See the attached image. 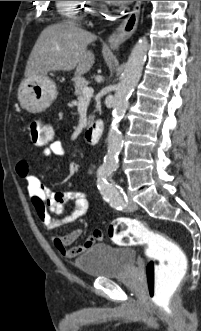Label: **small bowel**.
<instances>
[{"label":"small bowel","instance_id":"obj_1","mask_svg":"<svg viewBox=\"0 0 201 331\" xmlns=\"http://www.w3.org/2000/svg\"><path fill=\"white\" fill-rule=\"evenodd\" d=\"M42 153L46 157H63L67 155V150L61 141L54 140ZM92 168V166L89 168V173L92 172ZM16 171L19 177L25 181L30 200L46 229L54 230L63 225L73 223L85 214L88 208V201L83 192L78 190L51 191L37 176L30 172V164L26 160H21L17 163ZM69 203L72 204L68 212L64 215L53 216L54 213L61 214L64 207ZM81 234V229H75L65 235H53L52 241L63 257L72 259L84 253L95 243L103 240L102 232L96 230L83 243L71 247Z\"/></svg>","mask_w":201,"mask_h":331}]
</instances>
